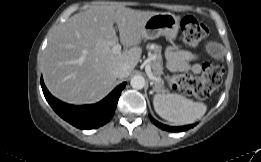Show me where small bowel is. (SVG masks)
<instances>
[{"label":"small bowel","mask_w":261,"mask_h":162,"mask_svg":"<svg viewBox=\"0 0 261 162\" xmlns=\"http://www.w3.org/2000/svg\"><path fill=\"white\" fill-rule=\"evenodd\" d=\"M208 53L214 58L222 56L221 48L213 42L206 45ZM167 65L172 71H187L190 70L195 74L202 71V65L199 63V55L181 49L179 46L169 47L167 51Z\"/></svg>","instance_id":"1"}]
</instances>
